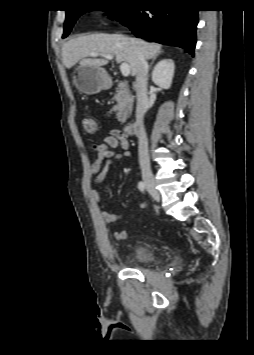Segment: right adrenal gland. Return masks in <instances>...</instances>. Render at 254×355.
Returning a JSON list of instances; mask_svg holds the SVG:
<instances>
[{"instance_id":"1","label":"right adrenal gland","mask_w":254,"mask_h":355,"mask_svg":"<svg viewBox=\"0 0 254 355\" xmlns=\"http://www.w3.org/2000/svg\"><path fill=\"white\" fill-rule=\"evenodd\" d=\"M162 52H160L159 54H161ZM158 57V55H156L155 57H153L151 65L154 63V61L156 60V58ZM150 69V68H149Z\"/></svg>"}]
</instances>
